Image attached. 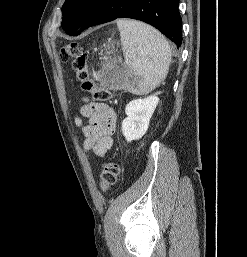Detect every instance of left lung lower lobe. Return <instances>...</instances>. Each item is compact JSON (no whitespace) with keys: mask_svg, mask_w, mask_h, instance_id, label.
<instances>
[{"mask_svg":"<svg viewBox=\"0 0 247 257\" xmlns=\"http://www.w3.org/2000/svg\"><path fill=\"white\" fill-rule=\"evenodd\" d=\"M178 5L179 0H99L79 30L71 35L117 18H132L154 26L179 47L182 20Z\"/></svg>","mask_w":247,"mask_h":257,"instance_id":"obj_1","label":"left lung lower lobe"}]
</instances>
